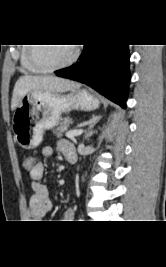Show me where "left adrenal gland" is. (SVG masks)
<instances>
[{
    "mask_svg": "<svg viewBox=\"0 0 166 267\" xmlns=\"http://www.w3.org/2000/svg\"><path fill=\"white\" fill-rule=\"evenodd\" d=\"M100 118H101V117H94V118H93V122H92V124L90 125L89 132L87 133L86 138L92 136V134H93V130H92V129H93V127L95 126V124H97V123L99 122Z\"/></svg>",
    "mask_w": 166,
    "mask_h": 267,
    "instance_id": "a2214340",
    "label": "left adrenal gland"
}]
</instances>
